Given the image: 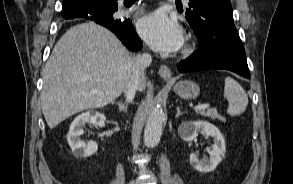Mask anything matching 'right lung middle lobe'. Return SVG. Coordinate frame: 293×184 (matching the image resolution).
Instances as JSON below:
<instances>
[{"label": "right lung middle lobe", "mask_w": 293, "mask_h": 184, "mask_svg": "<svg viewBox=\"0 0 293 184\" xmlns=\"http://www.w3.org/2000/svg\"><path fill=\"white\" fill-rule=\"evenodd\" d=\"M80 5L84 8H92L94 6H98L99 3H96L95 0H83Z\"/></svg>", "instance_id": "dd1d6c3e"}]
</instances>
